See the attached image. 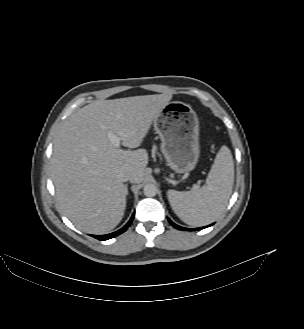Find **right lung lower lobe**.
<instances>
[{
	"label": "right lung lower lobe",
	"instance_id": "1",
	"mask_svg": "<svg viewBox=\"0 0 304 329\" xmlns=\"http://www.w3.org/2000/svg\"><path fill=\"white\" fill-rule=\"evenodd\" d=\"M134 218V215L131 217V219L129 220V222L123 227L121 228L120 230L116 231V232H113V233H110V234H107V235H92L94 238L98 239V240H108V239H111V238H114L118 235H120L121 233H123L131 224L132 220Z\"/></svg>",
	"mask_w": 304,
	"mask_h": 329
}]
</instances>
